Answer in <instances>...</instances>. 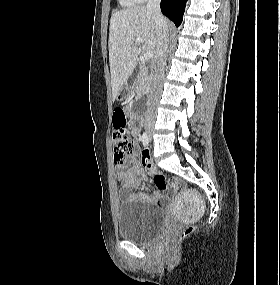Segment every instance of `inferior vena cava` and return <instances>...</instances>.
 <instances>
[{"instance_id":"inferior-vena-cava-1","label":"inferior vena cava","mask_w":280,"mask_h":285,"mask_svg":"<svg viewBox=\"0 0 280 285\" xmlns=\"http://www.w3.org/2000/svg\"><path fill=\"white\" fill-rule=\"evenodd\" d=\"M147 9L153 12L157 29L153 79L147 101L148 108L145 114V124L150 125L155 121L156 105L162 91V79L165 70L166 51L169 44V33L165 19L160 11V0H148Z\"/></svg>"}]
</instances>
